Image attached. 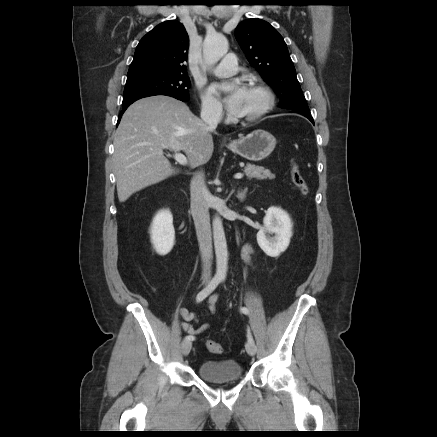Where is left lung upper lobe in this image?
Returning a JSON list of instances; mask_svg holds the SVG:
<instances>
[{
  "mask_svg": "<svg viewBox=\"0 0 437 437\" xmlns=\"http://www.w3.org/2000/svg\"><path fill=\"white\" fill-rule=\"evenodd\" d=\"M235 37L249 63L280 97V107L310 114L287 45L275 28L252 18L237 26Z\"/></svg>",
  "mask_w": 437,
  "mask_h": 437,
  "instance_id": "1",
  "label": "left lung upper lobe"
}]
</instances>
